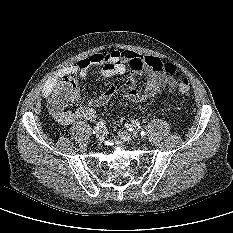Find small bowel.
I'll return each instance as SVG.
<instances>
[{
	"label": "small bowel",
	"instance_id": "obj_1",
	"mask_svg": "<svg viewBox=\"0 0 233 233\" xmlns=\"http://www.w3.org/2000/svg\"><path fill=\"white\" fill-rule=\"evenodd\" d=\"M165 65L171 64L157 57L143 56L133 51L113 50L96 53L65 67L61 71L60 79L79 75L85 80L87 70L91 66L102 67L103 77L123 75L129 68L136 76L143 77V87L137 89L135 79L129 80L124 85H112L100 96L89 100L88 105L79 106L74 111L59 109L54 105L55 90L60 79L47 84L43 90V95L58 123L69 125L78 119L90 121L95 118L94 107L105 105L119 91L126 92L128 98L135 103L147 100L157 94L173 93L176 87L174 75L164 70Z\"/></svg>",
	"mask_w": 233,
	"mask_h": 233
}]
</instances>
